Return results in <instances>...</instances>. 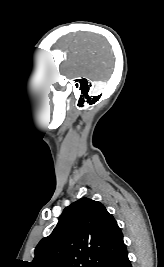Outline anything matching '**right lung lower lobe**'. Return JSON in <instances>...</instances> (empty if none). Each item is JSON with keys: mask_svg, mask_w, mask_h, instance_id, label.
Returning a JSON list of instances; mask_svg holds the SVG:
<instances>
[{"mask_svg": "<svg viewBox=\"0 0 164 267\" xmlns=\"http://www.w3.org/2000/svg\"><path fill=\"white\" fill-rule=\"evenodd\" d=\"M98 267H132L126 247L108 256Z\"/></svg>", "mask_w": 164, "mask_h": 267, "instance_id": "obj_1", "label": "right lung lower lobe"}]
</instances>
